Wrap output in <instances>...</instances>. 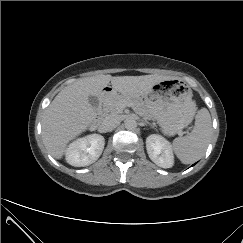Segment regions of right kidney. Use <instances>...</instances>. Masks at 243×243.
Returning a JSON list of instances; mask_svg holds the SVG:
<instances>
[{
  "mask_svg": "<svg viewBox=\"0 0 243 243\" xmlns=\"http://www.w3.org/2000/svg\"><path fill=\"white\" fill-rule=\"evenodd\" d=\"M105 139L99 134L78 138L66 149V161L75 167H84L94 163L102 154Z\"/></svg>",
  "mask_w": 243,
  "mask_h": 243,
  "instance_id": "ca27d5eb",
  "label": "right kidney"
}]
</instances>
